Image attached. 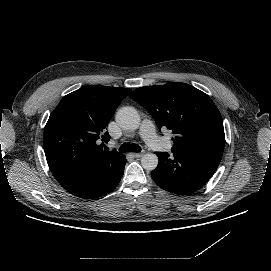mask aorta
Returning a JSON list of instances; mask_svg holds the SVG:
<instances>
[{
	"label": "aorta",
	"mask_w": 271,
	"mask_h": 271,
	"mask_svg": "<svg viewBox=\"0 0 271 271\" xmlns=\"http://www.w3.org/2000/svg\"><path fill=\"white\" fill-rule=\"evenodd\" d=\"M117 124L126 131H136L140 127L141 118L133 107H123L116 114ZM159 158L154 153H146L141 157V165L146 171L156 169Z\"/></svg>",
	"instance_id": "aorta-1"
}]
</instances>
